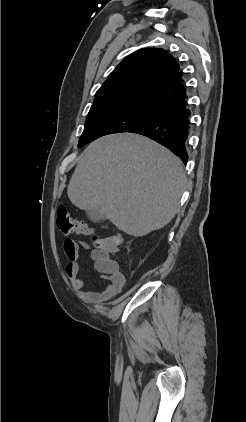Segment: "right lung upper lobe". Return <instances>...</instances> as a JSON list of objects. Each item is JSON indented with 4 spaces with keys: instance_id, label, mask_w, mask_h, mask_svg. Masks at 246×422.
Masks as SVG:
<instances>
[{
    "instance_id": "cb5924a9",
    "label": "right lung upper lobe",
    "mask_w": 246,
    "mask_h": 422,
    "mask_svg": "<svg viewBox=\"0 0 246 422\" xmlns=\"http://www.w3.org/2000/svg\"><path fill=\"white\" fill-rule=\"evenodd\" d=\"M179 64L167 51L143 48L126 57L95 94L92 105L160 107L186 94Z\"/></svg>"
}]
</instances>
